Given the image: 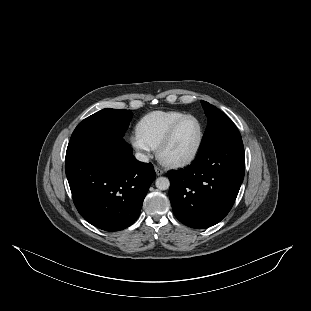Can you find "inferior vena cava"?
I'll use <instances>...</instances> for the list:
<instances>
[{
    "mask_svg": "<svg viewBox=\"0 0 311 311\" xmlns=\"http://www.w3.org/2000/svg\"><path fill=\"white\" fill-rule=\"evenodd\" d=\"M135 157L137 160L141 161V162H148L149 161V157L143 153L137 152L135 154Z\"/></svg>",
    "mask_w": 311,
    "mask_h": 311,
    "instance_id": "1",
    "label": "inferior vena cava"
}]
</instances>
